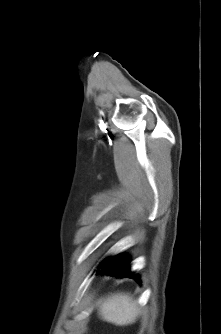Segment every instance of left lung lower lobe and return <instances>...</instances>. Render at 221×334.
<instances>
[{"label":"left lung lower lobe","instance_id":"left-lung-lower-lobe-1","mask_svg":"<svg viewBox=\"0 0 221 334\" xmlns=\"http://www.w3.org/2000/svg\"><path fill=\"white\" fill-rule=\"evenodd\" d=\"M98 269H101L98 273H105L116 277H130L140 282L139 275H133L129 271L128 257L125 255L115 256L105 260L98 266Z\"/></svg>","mask_w":221,"mask_h":334}]
</instances>
